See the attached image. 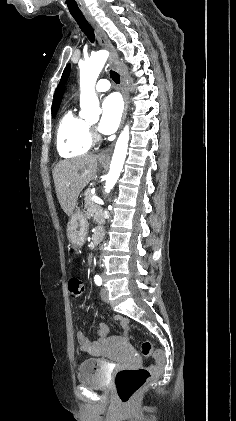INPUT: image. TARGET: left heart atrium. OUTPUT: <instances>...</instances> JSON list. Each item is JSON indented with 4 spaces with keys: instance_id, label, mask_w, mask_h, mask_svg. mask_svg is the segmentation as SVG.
<instances>
[{
    "instance_id": "1",
    "label": "left heart atrium",
    "mask_w": 236,
    "mask_h": 421,
    "mask_svg": "<svg viewBox=\"0 0 236 421\" xmlns=\"http://www.w3.org/2000/svg\"><path fill=\"white\" fill-rule=\"evenodd\" d=\"M102 109L99 129L104 134H111L120 124L122 105L118 97L115 94H111L103 100Z\"/></svg>"
}]
</instances>
